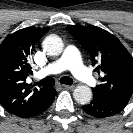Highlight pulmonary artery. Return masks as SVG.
Wrapping results in <instances>:
<instances>
[{"instance_id":"pulmonary-artery-1","label":"pulmonary artery","mask_w":133,"mask_h":133,"mask_svg":"<svg viewBox=\"0 0 133 133\" xmlns=\"http://www.w3.org/2000/svg\"><path fill=\"white\" fill-rule=\"evenodd\" d=\"M67 69L85 84L89 86H94L96 84L95 78L82 63L78 49L73 45L67 46L60 58L42 68L39 71V77L57 74Z\"/></svg>"}]
</instances>
